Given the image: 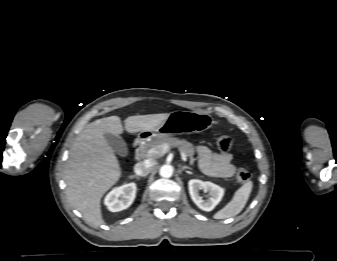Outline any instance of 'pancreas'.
I'll return each mask as SVG.
<instances>
[{"label": "pancreas", "mask_w": 337, "mask_h": 261, "mask_svg": "<svg viewBox=\"0 0 337 261\" xmlns=\"http://www.w3.org/2000/svg\"><path fill=\"white\" fill-rule=\"evenodd\" d=\"M168 144L170 148L177 147L180 150L184 151L185 155L190 158V164L193 165L195 158L193 157L195 153V147L190 142L182 139L179 140L178 138L169 137V136H163V137H156L155 139L147 142L146 144L142 145L140 147V153L147 157L157 158L159 156H162L161 153H156L152 155H148V150L163 145Z\"/></svg>", "instance_id": "obj_1"}]
</instances>
